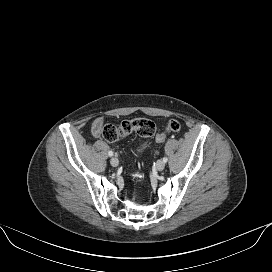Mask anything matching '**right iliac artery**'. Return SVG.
Instances as JSON below:
<instances>
[{"label":"right iliac artery","mask_w":272,"mask_h":272,"mask_svg":"<svg viewBox=\"0 0 272 272\" xmlns=\"http://www.w3.org/2000/svg\"><path fill=\"white\" fill-rule=\"evenodd\" d=\"M108 155L111 157V156H113V152L112 151H109L108 152Z\"/></svg>","instance_id":"82829eb1"}]
</instances>
